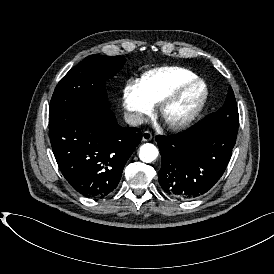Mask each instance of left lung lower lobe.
<instances>
[{
    "label": "left lung lower lobe",
    "mask_w": 274,
    "mask_h": 274,
    "mask_svg": "<svg viewBox=\"0 0 274 274\" xmlns=\"http://www.w3.org/2000/svg\"><path fill=\"white\" fill-rule=\"evenodd\" d=\"M236 138L200 123L176 135H157L162 158L158 178L164 192L179 200L205 194L223 175Z\"/></svg>",
    "instance_id": "1"
}]
</instances>
